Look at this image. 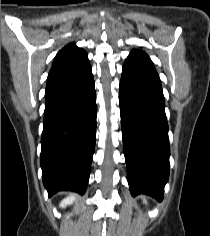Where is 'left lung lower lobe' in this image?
Instances as JSON below:
<instances>
[{
	"mask_svg": "<svg viewBox=\"0 0 210 236\" xmlns=\"http://www.w3.org/2000/svg\"><path fill=\"white\" fill-rule=\"evenodd\" d=\"M119 103L131 194L143 193L161 201L170 149L164 96L153 64L125 61Z\"/></svg>",
	"mask_w": 210,
	"mask_h": 236,
	"instance_id": "left-lung-lower-lobe-1",
	"label": "left lung lower lobe"
}]
</instances>
